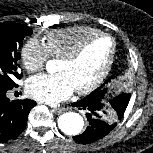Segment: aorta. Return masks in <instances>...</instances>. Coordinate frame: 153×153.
I'll return each instance as SVG.
<instances>
[{
  "mask_svg": "<svg viewBox=\"0 0 153 153\" xmlns=\"http://www.w3.org/2000/svg\"><path fill=\"white\" fill-rule=\"evenodd\" d=\"M56 69L53 61L46 63V70L49 73H54ZM60 130L67 135H78L84 127V119L81 115L75 112H67L62 114L58 119Z\"/></svg>",
  "mask_w": 153,
  "mask_h": 153,
  "instance_id": "aorta-1",
  "label": "aorta"
}]
</instances>
